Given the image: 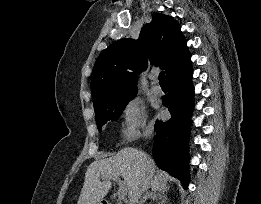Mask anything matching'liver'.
Wrapping results in <instances>:
<instances>
[{"label": "liver", "instance_id": "6515ba94", "mask_svg": "<svg viewBox=\"0 0 261 204\" xmlns=\"http://www.w3.org/2000/svg\"><path fill=\"white\" fill-rule=\"evenodd\" d=\"M155 172V163L146 153L132 147L124 148L113 157L96 160L89 165L77 204H101L112 186L108 180L110 176L124 179L129 199L146 176L147 189L164 193L167 191L166 181L164 179V182H161Z\"/></svg>", "mask_w": 261, "mask_h": 204}]
</instances>
